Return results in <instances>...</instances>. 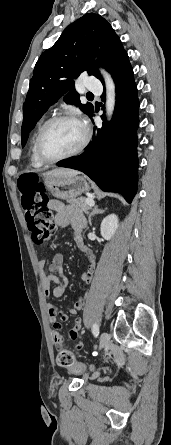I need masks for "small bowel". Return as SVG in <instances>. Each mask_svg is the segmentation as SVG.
<instances>
[{
	"instance_id": "1",
	"label": "small bowel",
	"mask_w": 171,
	"mask_h": 445,
	"mask_svg": "<svg viewBox=\"0 0 171 445\" xmlns=\"http://www.w3.org/2000/svg\"><path fill=\"white\" fill-rule=\"evenodd\" d=\"M48 205L49 208L55 212L54 222L57 226L66 227L70 225L72 227L75 241L80 247L83 255L86 257L88 263V269L82 272L81 278L84 282L89 283L92 279L91 271L95 265V256L84 243L83 230L86 226L84 216L79 211L66 207L58 200H50ZM62 264L63 256L61 253H56L49 263L45 260H41L38 263L41 285L43 293L46 297L53 295L56 298H60L66 292L67 280L60 274ZM83 305V299L78 297L69 310L70 314H77L82 310ZM46 308L50 323L54 328V342L56 346H59L64 342V337L58 332V330L61 328L60 321L65 322L68 319V316L51 303H48ZM81 327L82 320L80 318H76L73 327H71L68 331L69 337L72 340L77 341V349H81L83 347V343L79 340Z\"/></svg>"
}]
</instances>
